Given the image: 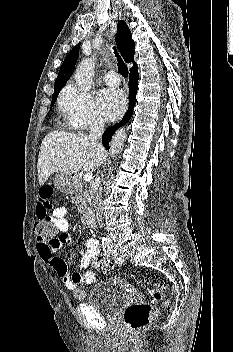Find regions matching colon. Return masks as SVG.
Segmentation results:
<instances>
[{
    "mask_svg": "<svg viewBox=\"0 0 233 352\" xmlns=\"http://www.w3.org/2000/svg\"><path fill=\"white\" fill-rule=\"evenodd\" d=\"M34 232L37 239L41 241H50L58 238L55 227L48 219H38L34 224ZM90 264L96 269L103 272L112 270V263L105 255H94L90 259ZM76 282L80 281V276L73 277ZM165 286L157 285L148 291L149 302H136L128 305L123 312V322L126 329L130 332H137L152 323L158 315V305L166 308L169 306V300L164 299ZM76 299L82 300L86 297V291L82 285H78L73 290Z\"/></svg>",
    "mask_w": 233,
    "mask_h": 352,
    "instance_id": "1",
    "label": "colon"
}]
</instances>
